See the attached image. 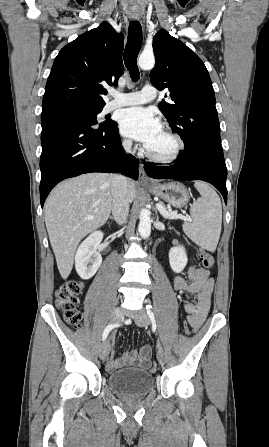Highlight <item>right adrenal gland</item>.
<instances>
[{"label":"right adrenal gland","mask_w":269,"mask_h":447,"mask_svg":"<svg viewBox=\"0 0 269 447\" xmlns=\"http://www.w3.org/2000/svg\"><path fill=\"white\" fill-rule=\"evenodd\" d=\"M109 220H114L113 216H109Z\"/></svg>","instance_id":"obj_1"}]
</instances>
